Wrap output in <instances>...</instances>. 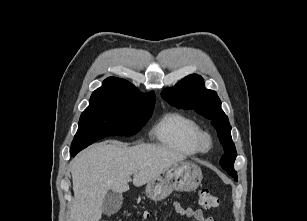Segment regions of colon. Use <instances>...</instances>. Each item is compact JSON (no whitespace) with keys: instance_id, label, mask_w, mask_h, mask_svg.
<instances>
[{"instance_id":"obj_1","label":"colon","mask_w":307,"mask_h":221,"mask_svg":"<svg viewBox=\"0 0 307 221\" xmlns=\"http://www.w3.org/2000/svg\"><path fill=\"white\" fill-rule=\"evenodd\" d=\"M197 198L199 204L205 209H213L219 206V199L207 188H200Z\"/></svg>"}]
</instances>
